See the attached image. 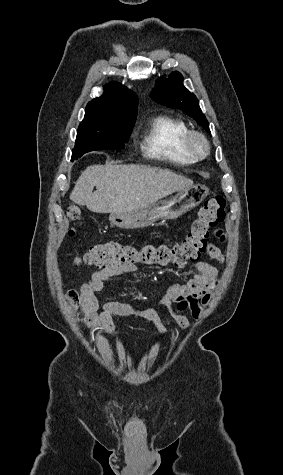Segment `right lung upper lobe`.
Wrapping results in <instances>:
<instances>
[{"label":"right lung upper lobe","mask_w":283,"mask_h":475,"mask_svg":"<svg viewBox=\"0 0 283 475\" xmlns=\"http://www.w3.org/2000/svg\"><path fill=\"white\" fill-rule=\"evenodd\" d=\"M138 105L136 94L118 83H109L104 88V94L88 103V106L117 107Z\"/></svg>","instance_id":"1"}]
</instances>
